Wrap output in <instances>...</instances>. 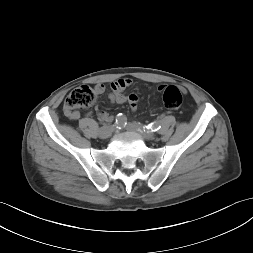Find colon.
<instances>
[{
  "instance_id": "colon-1",
  "label": "colon",
  "mask_w": 253,
  "mask_h": 253,
  "mask_svg": "<svg viewBox=\"0 0 253 253\" xmlns=\"http://www.w3.org/2000/svg\"><path fill=\"white\" fill-rule=\"evenodd\" d=\"M162 101L165 108L175 111L183 102L182 92L176 86H167L162 89ZM96 92L89 86H81L73 90L65 100V109L74 111L79 108H88L94 104Z\"/></svg>"
}]
</instances>
